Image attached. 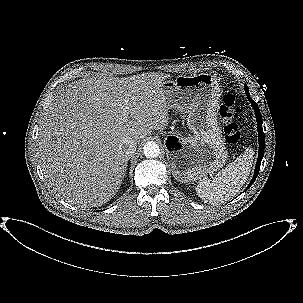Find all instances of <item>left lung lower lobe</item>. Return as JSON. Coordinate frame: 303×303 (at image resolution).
Returning a JSON list of instances; mask_svg holds the SVG:
<instances>
[{"label":"left lung lower lobe","mask_w":303,"mask_h":303,"mask_svg":"<svg viewBox=\"0 0 303 303\" xmlns=\"http://www.w3.org/2000/svg\"><path fill=\"white\" fill-rule=\"evenodd\" d=\"M246 95L248 100L250 101V103L253 106V109L255 111V115H256V120H257V129H258V135H259V153H258V159H257V163H256V167H255V172H254V176L252 178V180L250 181L248 187L246 188V190L254 183V181L256 180L259 170H260V165H261V161L262 158L264 156V146H265V137H264V132L262 129V117H261V113L259 111L258 105L256 104V102H254L249 94L248 91V87L245 85L244 86Z\"/></svg>","instance_id":"1"}]
</instances>
